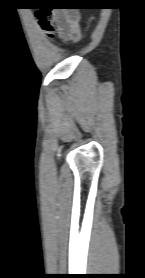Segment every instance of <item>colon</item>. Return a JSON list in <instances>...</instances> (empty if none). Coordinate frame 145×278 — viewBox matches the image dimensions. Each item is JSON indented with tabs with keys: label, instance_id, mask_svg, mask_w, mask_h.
<instances>
[{
	"label": "colon",
	"instance_id": "5ec220e1",
	"mask_svg": "<svg viewBox=\"0 0 145 278\" xmlns=\"http://www.w3.org/2000/svg\"><path fill=\"white\" fill-rule=\"evenodd\" d=\"M85 8H88L87 5L78 2V0H63L62 3L57 5L43 6L39 7L36 11V17L41 29L50 34L55 29L56 19L55 11H84ZM70 23L66 26L69 30H74L77 27V22L74 17H70Z\"/></svg>",
	"mask_w": 145,
	"mask_h": 278
}]
</instances>
